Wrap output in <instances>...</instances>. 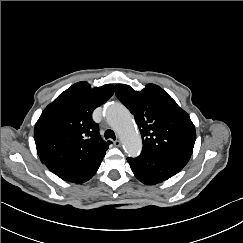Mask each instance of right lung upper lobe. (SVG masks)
Listing matches in <instances>:
<instances>
[{"label":"right lung upper lobe","mask_w":243,"mask_h":243,"mask_svg":"<svg viewBox=\"0 0 243 243\" xmlns=\"http://www.w3.org/2000/svg\"><path fill=\"white\" fill-rule=\"evenodd\" d=\"M113 93L111 84L91 88L78 82L44 109L34 140L38 156L52 173L60 175L103 160L112 142L101 139L92 113Z\"/></svg>","instance_id":"1"}]
</instances>
